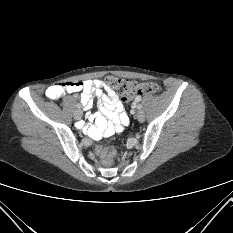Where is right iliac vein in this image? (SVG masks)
<instances>
[{
	"label": "right iliac vein",
	"mask_w": 233,
	"mask_h": 233,
	"mask_svg": "<svg viewBox=\"0 0 233 233\" xmlns=\"http://www.w3.org/2000/svg\"><path fill=\"white\" fill-rule=\"evenodd\" d=\"M82 116H83V113H82V111H81V110H77V111H75V113H74V118H75L76 120L81 119V118H82Z\"/></svg>",
	"instance_id": "obj_1"
}]
</instances>
